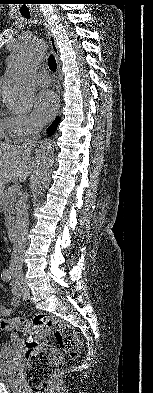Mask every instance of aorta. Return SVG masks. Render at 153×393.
Masks as SVG:
<instances>
[{"mask_svg": "<svg viewBox=\"0 0 153 393\" xmlns=\"http://www.w3.org/2000/svg\"><path fill=\"white\" fill-rule=\"evenodd\" d=\"M45 41L38 35L22 38L8 57L7 74L0 87L5 106L14 113L28 112L33 106V74L45 53ZM34 191L41 194L50 184L54 165V148L50 140L42 141L35 150Z\"/></svg>", "mask_w": 153, "mask_h": 393, "instance_id": "obj_1", "label": "aorta"}]
</instances>
